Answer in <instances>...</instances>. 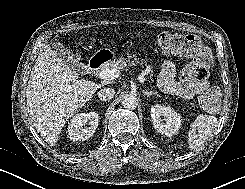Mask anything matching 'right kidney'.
I'll use <instances>...</instances> for the list:
<instances>
[{
	"label": "right kidney",
	"instance_id": "right-kidney-1",
	"mask_svg": "<svg viewBox=\"0 0 245 189\" xmlns=\"http://www.w3.org/2000/svg\"><path fill=\"white\" fill-rule=\"evenodd\" d=\"M89 124V127H85ZM98 126V114L95 112L80 113L74 116L68 123V136L73 141L89 139Z\"/></svg>",
	"mask_w": 245,
	"mask_h": 189
}]
</instances>
